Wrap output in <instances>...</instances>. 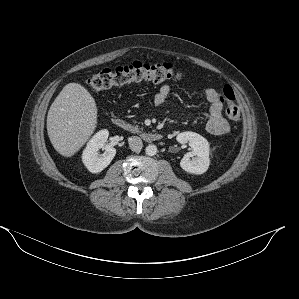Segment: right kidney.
Masks as SVG:
<instances>
[{
    "label": "right kidney",
    "instance_id": "right-kidney-1",
    "mask_svg": "<svg viewBox=\"0 0 299 299\" xmlns=\"http://www.w3.org/2000/svg\"><path fill=\"white\" fill-rule=\"evenodd\" d=\"M108 130H100L87 143L82 154V161L86 168L92 173H99L105 169L115 157L116 149L106 145L108 139ZM103 148L104 153L99 154V149Z\"/></svg>",
    "mask_w": 299,
    "mask_h": 299
}]
</instances>
